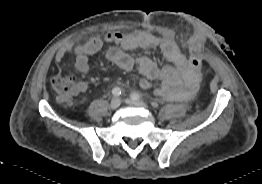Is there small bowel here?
<instances>
[{
	"instance_id": "obj_1",
	"label": "small bowel",
	"mask_w": 262,
	"mask_h": 184,
	"mask_svg": "<svg viewBox=\"0 0 262 184\" xmlns=\"http://www.w3.org/2000/svg\"><path fill=\"white\" fill-rule=\"evenodd\" d=\"M205 38V30L197 29L188 38V48L193 51L198 50ZM104 43L112 44L106 53L110 62L125 71H131L134 68L139 70L143 75L139 83L142 89H150L153 82H157L155 94L160 98L187 101L195 96L201 79V71L188 66L189 56L185 55L170 37H160L147 32L114 31L108 33L103 39L93 37L83 44L70 43L61 47L55 55V62L60 64L66 55H74L76 69L81 73H88L90 57L98 53ZM139 48L158 49L167 62L159 66L148 57L135 58L128 53ZM86 87L85 82L80 83L81 91H84Z\"/></svg>"
}]
</instances>
